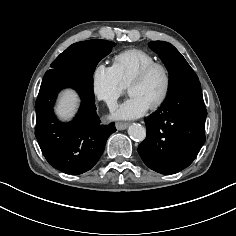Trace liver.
I'll return each instance as SVG.
<instances>
[{"mask_svg":"<svg viewBox=\"0 0 236 236\" xmlns=\"http://www.w3.org/2000/svg\"><path fill=\"white\" fill-rule=\"evenodd\" d=\"M78 104L79 99L77 94L72 90H66L60 96L56 112L62 119H68L73 116Z\"/></svg>","mask_w":236,"mask_h":236,"instance_id":"1","label":"liver"}]
</instances>
